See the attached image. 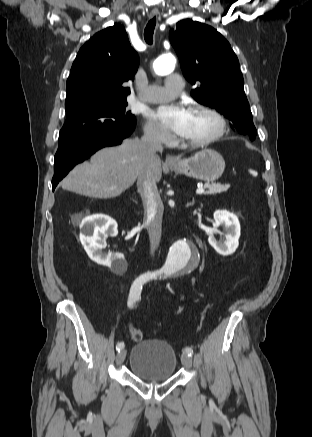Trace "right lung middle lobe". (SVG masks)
Masks as SVG:
<instances>
[{"mask_svg":"<svg viewBox=\"0 0 312 437\" xmlns=\"http://www.w3.org/2000/svg\"><path fill=\"white\" fill-rule=\"evenodd\" d=\"M126 106L127 102L121 101L86 102L66 107V122L60 131L58 148L135 126L136 118L125 111Z\"/></svg>","mask_w":312,"mask_h":437,"instance_id":"dd1d6c3e","label":"right lung middle lobe"}]
</instances>
